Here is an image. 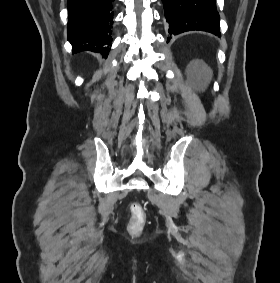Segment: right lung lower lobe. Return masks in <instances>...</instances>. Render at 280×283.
Instances as JSON below:
<instances>
[{
  "mask_svg": "<svg viewBox=\"0 0 280 283\" xmlns=\"http://www.w3.org/2000/svg\"><path fill=\"white\" fill-rule=\"evenodd\" d=\"M114 0H68V41L73 53H108L112 44ZM103 56H106L104 54Z\"/></svg>",
  "mask_w": 280,
  "mask_h": 283,
  "instance_id": "98d812e1",
  "label": "right lung lower lobe"
}]
</instances>
